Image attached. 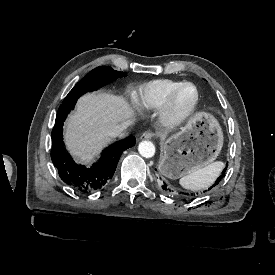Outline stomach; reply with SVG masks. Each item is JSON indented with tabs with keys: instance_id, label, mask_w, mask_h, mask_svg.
Instances as JSON below:
<instances>
[{
	"instance_id": "obj_1",
	"label": "stomach",
	"mask_w": 275,
	"mask_h": 275,
	"mask_svg": "<svg viewBox=\"0 0 275 275\" xmlns=\"http://www.w3.org/2000/svg\"><path fill=\"white\" fill-rule=\"evenodd\" d=\"M223 140L219 122L211 114L198 112L179 132L161 135L159 172L167 178L178 179L197 171L216 160Z\"/></svg>"
}]
</instances>
